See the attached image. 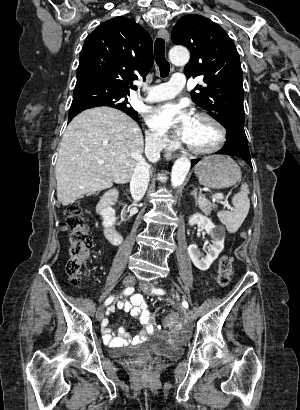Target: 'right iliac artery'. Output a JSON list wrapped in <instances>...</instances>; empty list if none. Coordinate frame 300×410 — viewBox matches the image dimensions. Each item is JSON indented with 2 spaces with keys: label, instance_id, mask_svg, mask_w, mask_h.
<instances>
[{
  "label": "right iliac artery",
  "instance_id": "right-iliac-artery-1",
  "mask_svg": "<svg viewBox=\"0 0 300 410\" xmlns=\"http://www.w3.org/2000/svg\"><path fill=\"white\" fill-rule=\"evenodd\" d=\"M133 292H134V288L133 287H128L123 291V294L124 295H130ZM113 300H114V296L108 297L105 301V306L109 305Z\"/></svg>",
  "mask_w": 300,
  "mask_h": 410
}]
</instances>
